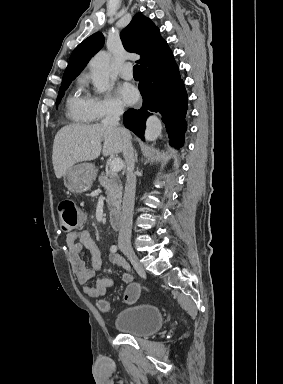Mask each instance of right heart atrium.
Here are the masks:
<instances>
[{"label": "right heart atrium", "mask_w": 283, "mask_h": 384, "mask_svg": "<svg viewBox=\"0 0 283 384\" xmlns=\"http://www.w3.org/2000/svg\"><path fill=\"white\" fill-rule=\"evenodd\" d=\"M92 123L102 124L108 119L118 117L123 112L121 101L112 96L89 95Z\"/></svg>", "instance_id": "d8ad5b80"}]
</instances>
